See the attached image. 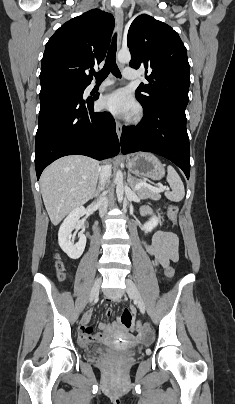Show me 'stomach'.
<instances>
[{
    "mask_svg": "<svg viewBox=\"0 0 235 404\" xmlns=\"http://www.w3.org/2000/svg\"><path fill=\"white\" fill-rule=\"evenodd\" d=\"M127 167L130 172L141 178L160 180L165 175L164 165L151 153L140 152L131 155Z\"/></svg>",
    "mask_w": 235,
    "mask_h": 404,
    "instance_id": "stomach-1",
    "label": "stomach"
}]
</instances>
